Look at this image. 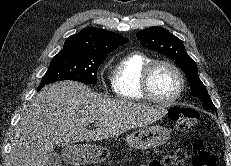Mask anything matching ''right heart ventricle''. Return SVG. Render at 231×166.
<instances>
[{
	"mask_svg": "<svg viewBox=\"0 0 231 166\" xmlns=\"http://www.w3.org/2000/svg\"><path fill=\"white\" fill-rule=\"evenodd\" d=\"M152 60V57L140 51L129 52L119 59L111 77L112 89L118 99H146L141 90V76L145 66Z\"/></svg>",
	"mask_w": 231,
	"mask_h": 166,
	"instance_id": "right-heart-ventricle-1",
	"label": "right heart ventricle"
}]
</instances>
